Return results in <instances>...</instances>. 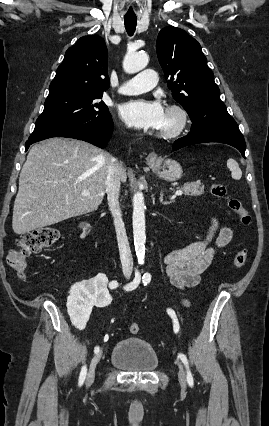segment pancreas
<instances>
[{
  "label": "pancreas",
  "instance_id": "cf45deb5",
  "mask_svg": "<svg viewBox=\"0 0 269 426\" xmlns=\"http://www.w3.org/2000/svg\"><path fill=\"white\" fill-rule=\"evenodd\" d=\"M181 190L188 196H200L204 193V186L199 181L185 183Z\"/></svg>",
  "mask_w": 269,
  "mask_h": 426
}]
</instances>
